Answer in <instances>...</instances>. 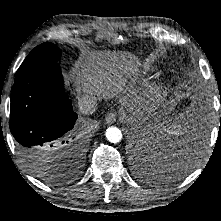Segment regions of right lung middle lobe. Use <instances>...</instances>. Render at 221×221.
<instances>
[{"label": "right lung middle lobe", "mask_w": 221, "mask_h": 221, "mask_svg": "<svg viewBox=\"0 0 221 221\" xmlns=\"http://www.w3.org/2000/svg\"><path fill=\"white\" fill-rule=\"evenodd\" d=\"M60 49L52 43H43L35 47L25 58L15 74V81L42 66L57 63Z\"/></svg>", "instance_id": "dd1d6c3e"}]
</instances>
